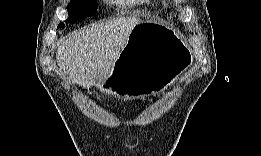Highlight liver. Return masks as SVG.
<instances>
[{"label":"liver","instance_id":"6515ba94","mask_svg":"<svg viewBox=\"0 0 261 156\" xmlns=\"http://www.w3.org/2000/svg\"><path fill=\"white\" fill-rule=\"evenodd\" d=\"M141 19L118 17L73 31L56 52L57 63L73 84L98 86L112 73L131 31Z\"/></svg>","mask_w":261,"mask_h":156}]
</instances>
